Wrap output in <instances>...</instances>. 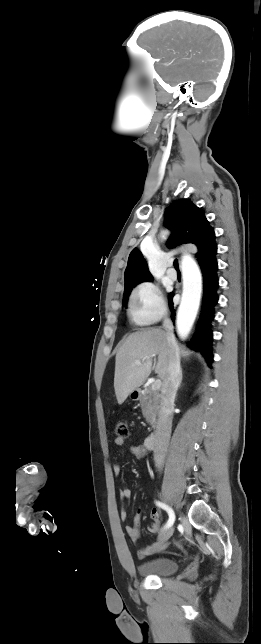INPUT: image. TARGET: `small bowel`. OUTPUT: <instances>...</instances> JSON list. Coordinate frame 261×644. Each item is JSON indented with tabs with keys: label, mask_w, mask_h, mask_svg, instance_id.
<instances>
[{
	"label": "small bowel",
	"mask_w": 261,
	"mask_h": 644,
	"mask_svg": "<svg viewBox=\"0 0 261 644\" xmlns=\"http://www.w3.org/2000/svg\"><path fill=\"white\" fill-rule=\"evenodd\" d=\"M125 443L124 439L116 438L115 439V444L117 446H123ZM130 452L131 454L137 458V459H143L148 455V450L140 444H135L130 447ZM121 471V465L120 462H115L113 465V473L118 476ZM132 491L129 488H123L120 490V497L123 503L128 501L131 498ZM142 511L141 509H138L134 515V525L133 526H126L125 527V532L128 536V538L133 542L136 543L137 539L139 537L140 533V528H139V521L141 518ZM151 517V523L148 527V531L152 534L158 533L160 529V513L158 509L153 508L150 513ZM120 518L122 521H125L127 519V511L125 507L123 506L120 512ZM166 546V541H162L158 539L151 545L140 547L137 551L139 557H146L148 555L157 553L161 550H163Z\"/></svg>",
	"instance_id": "1"
}]
</instances>
